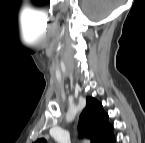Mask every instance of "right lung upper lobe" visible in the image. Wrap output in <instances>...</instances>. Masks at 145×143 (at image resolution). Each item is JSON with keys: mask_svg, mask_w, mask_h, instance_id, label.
I'll return each instance as SVG.
<instances>
[{"mask_svg": "<svg viewBox=\"0 0 145 143\" xmlns=\"http://www.w3.org/2000/svg\"><path fill=\"white\" fill-rule=\"evenodd\" d=\"M80 131L84 133L91 143H113V127L108 122V115L103 111L101 103L92 97H87V105L79 119ZM37 143H46L39 139Z\"/></svg>", "mask_w": 145, "mask_h": 143, "instance_id": "right-lung-upper-lobe-1", "label": "right lung upper lobe"}]
</instances>
